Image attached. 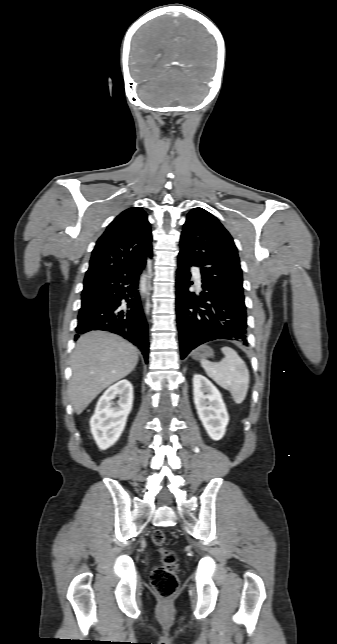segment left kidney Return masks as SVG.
I'll list each match as a JSON object with an SVG mask.
<instances>
[{
  "mask_svg": "<svg viewBox=\"0 0 337 644\" xmlns=\"http://www.w3.org/2000/svg\"><path fill=\"white\" fill-rule=\"evenodd\" d=\"M194 404L199 419L213 440H220L226 432L229 415L219 390L206 377L193 376Z\"/></svg>",
  "mask_w": 337,
  "mask_h": 644,
  "instance_id": "obj_1",
  "label": "left kidney"
}]
</instances>
